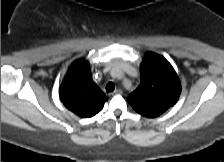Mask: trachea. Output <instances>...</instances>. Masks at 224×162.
Returning a JSON list of instances; mask_svg holds the SVG:
<instances>
[{
  "label": "trachea",
  "instance_id": "trachea-1",
  "mask_svg": "<svg viewBox=\"0 0 224 162\" xmlns=\"http://www.w3.org/2000/svg\"><path fill=\"white\" fill-rule=\"evenodd\" d=\"M115 89V84L113 82H109L107 85H106V91L109 93V92H113Z\"/></svg>",
  "mask_w": 224,
  "mask_h": 162
}]
</instances>
